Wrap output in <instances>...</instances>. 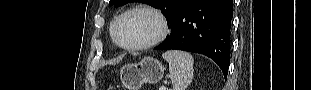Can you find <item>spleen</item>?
<instances>
[{"instance_id":"1","label":"spleen","mask_w":311,"mask_h":90,"mask_svg":"<svg viewBox=\"0 0 311 90\" xmlns=\"http://www.w3.org/2000/svg\"><path fill=\"white\" fill-rule=\"evenodd\" d=\"M162 57L169 64L173 90H186L194 75L192 55L184 51L169 50L163 53Z\"/></svg>"}]
</instances>
